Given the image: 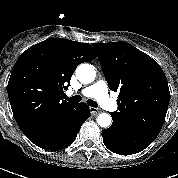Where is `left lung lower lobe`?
I'll return each instance as SVG.
<instances>
[{
	"instance_id": "1",
	"label": "left lung lower lobe",
	"mask_w": 178,
	"mask_h": 178,
	"mask_svg": "<svg viewBox=\"0 0 178 178\" xmlns=\"http://www.w3.org/2000/svg\"><path fill=\"white\" fill-rule=\"evenodd\" d=\"M102 136L105 146L110 151L121 155L138 153L155 140L114 119L112 126L102 131Z\"/></svg>"
}]
</instances>
